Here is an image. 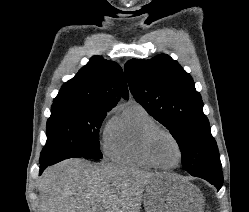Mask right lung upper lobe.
Here are the masks:
<instances>
[{
	"mask_svg": "<svg viewBox=\"0 0 249 212\" xmlns=\"http://www.w3.org/2000/svg\"><path fill=\"white\" fill-rule=\"evenodd\" d=\"M120 97L129 98L121 67L113 61L94 56L77 75L66 82L54 101L81 102L112 108Z\"/></svg>",
	"mask_w": 249,
	"mask_h": 212,
	"instance_id": "right-lung-upper-lobe-1",
	"label": "right lung upper lobe"
}]
</instances>
